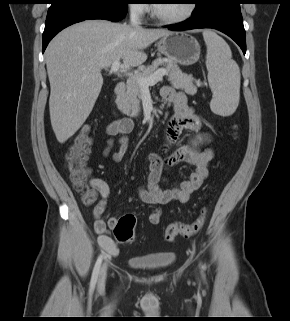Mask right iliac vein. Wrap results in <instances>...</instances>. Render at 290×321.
<instances>
[{"mask_svg": "<svg viewBox=\"0 0 290 321\" xmlns=\"http://www.w3.org/2000/svg\"><path fill=\"white\" fill-rule=\"evenodd\" d=\"M106 277H107V263L105 262L101 266V269L99 272V279H98L99 286H101L105 283Z\"/></svg>", "mask_w": 290, "mask_h": 321, "instance_id": "right-iliac-vein-1", "label": "right iliac vein"}]
</instances>
